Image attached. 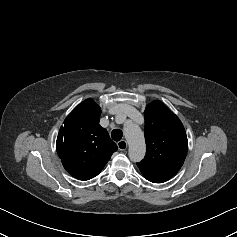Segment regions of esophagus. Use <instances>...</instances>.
<instances>
[{"instance_id": "esophagus-1", "label": "esophagus", "mask_w": 237, "mask_h": 237, "mask_svg": "<svg viewBox=\"0 0 237 237\" xmlns=\"http://www.w3.org/2000/svg\"><path fill=\"white\" fill-rule=\"evenodd\" d=\"M118 149L124 151L127 149V142L125 140H121L117 143Z\"/></svg>"}]
</instances>
